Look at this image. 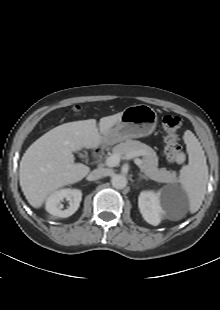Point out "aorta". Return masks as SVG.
Instances as JSON below:
<instances>
[{"mask_svg":"<svg viewBox=\"0 0 220 310\" xmlns=\"http://www.w3.org/2000/svg\"><path fill=\"white\" fill-rule=\"evenodd\" d=\"M111 183L116 189H124L127 185V178L124 175L116 174L112 177Z\"/></svg>","mask_w":220,"mask_h":310,"instance_id":"aorta-1","label":"aorta"}]
</instances>
